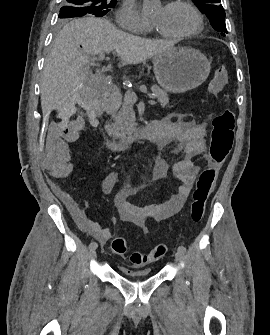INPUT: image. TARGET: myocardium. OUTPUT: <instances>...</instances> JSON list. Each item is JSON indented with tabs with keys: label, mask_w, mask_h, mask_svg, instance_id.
<instances>
[{
	"label": "myocardium",
	"mask_w": 270,
	"mask_h": 335,
	"mask_svg": "<svg viewBox=\"0 0 270 335\" xmlns=\"http://www.w3.org/2000/svg\"><path fill=\"white\" fill-rule=\"evenodd\" d=\"M180 5H186L191 11L192 13L194 14L195 18H196V21H197V24H196V27L189 31V32H186V33H182V34H177V35H169V34H164L162 33L161 31H159V33L166 37V38H174V39H178V40H184V39H188V38H191L195 35H197L204 27V21H203V18L200 14V12L198 11V9L194 6V4L192 2H181V1H175V2H171L169 4L170 7H178ZM181 52H197L193 49H189V48H184L181 50ZM198 78H205V77H198Z\"/></svg>",
	"instance_id": "myocardium-1"
}]
</instances>
